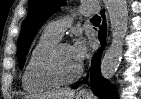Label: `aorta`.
Listing matches in <instances>:
<instances>
[{"instance_id":"1","label":"aorta","mask_w":141,"mask_h":99,"mask_svg":"<svg viewBox=\"0 0 141 99\" xmlns=\"http://www.w3.org/2000/svg\"><path fill=\"white\" fill-rule=\"evenodd\" d=\"M109 14L112 42L101 61V75L110 80L116 73L123 54L124 38L128 27L127 0H105Z\"/></svg>"}]
</instances>
